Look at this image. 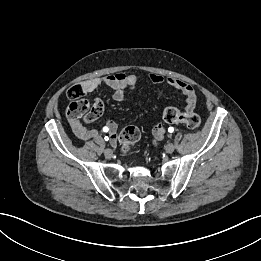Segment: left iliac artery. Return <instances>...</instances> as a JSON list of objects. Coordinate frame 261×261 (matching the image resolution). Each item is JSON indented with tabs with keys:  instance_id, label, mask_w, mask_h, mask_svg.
Masks as SVG:
<instances>
[{
	"instance_id": "obj_1",
	"label": "left iliac artery",
	"mask_w": 261,
	"mask_h": 261,
	"mask_svg": "<svg viewBox=\"0 0 261 261\" xmlns=\"http://www.w3.org/2000/svg\"><path fill=\"white\" fill-rule=\"evenodd\" d=\"M168 131H169L170 133H172V132L174 131V128H173V127H169V128H168Z\"/></svg>"
}]
</instances>
